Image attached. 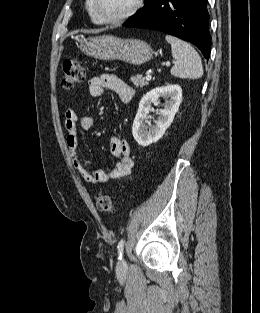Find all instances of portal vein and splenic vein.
Segmentation results:
<instances>
[{"label":"portal vein and splenic vein","mask_w":260,"mask_h":313,"mask_svg":"<svg viewBox=\"0 0 260 313\" xmlns=\"http://www.w3.org/2000/svg\"><path fill=\"white\" fill-rule=\"evenodd\" d=\"M167 65H170V63H167ZM151 78H152L151 74L148 73V74L146 75V80H147V81H150Z\"/></svg>","instance_id":"obj_1"}]
</instances>
